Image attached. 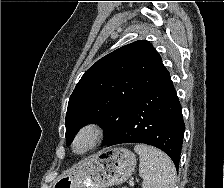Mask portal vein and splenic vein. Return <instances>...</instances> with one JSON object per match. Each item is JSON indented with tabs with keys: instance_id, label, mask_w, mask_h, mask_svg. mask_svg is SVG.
Segmentation results:
<instances>
[{
	"instance_id": "1",
	"label": "portal vein and splenic vein",
	"mask_w": 224,
	"mask_h": 188,
	"mask_svg": "<svg viewBox=\"0 0 224 188\" xmlns=\"http://www.w3.org/2000/svg\"><path fill=\"white\" fill-rule=\"evenodd\" d=\"M129 185H130V186H134V182H133V181H130V182H129Z\"/></svg>"
}]
</instances>
